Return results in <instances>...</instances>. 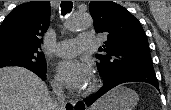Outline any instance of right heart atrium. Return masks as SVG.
Segmentation results:
<instances>
[{
  "label": "right heart atrium",
  "mask_w": 171,
  "mask_h": 110,
  "mask_svg": "<svg viewBox=\"0 0 171 110\" xmlns=\"http://www.w3.org/2000/svg\"><path fill=\"white\" fill-rule=\"evenodd\" d=\"M53 86L56 88V89H60V83L57 81V80H53Z\"/></svg>",
  "instance_id": "1"
}]
</instances>
